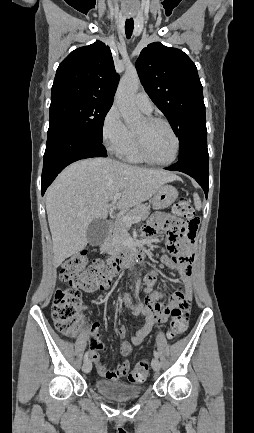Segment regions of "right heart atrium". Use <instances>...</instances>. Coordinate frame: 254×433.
Here are the masks:
<instances>
[{"instance_id":"right-heart-atrium-1","label":"right heart atrium","mask_w":254,"mask_h":433,"mask_svg":"<svg viewBox=\"0 0 254 433\" xmlns=\"http://www.w3.org/2000/svg\"><path fill=\"white\" fill-rule=\"evenodd\" d=\"M132 137L119 110L112 106L101 124V138L105 148L114 155H120Z\"/></svg>"}]
</instances>
